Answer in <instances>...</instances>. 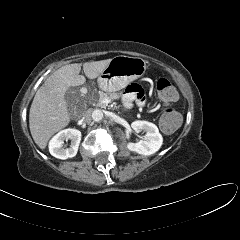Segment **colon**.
I'll return each mask as SVG.
<instances>
[{
    "label": "colon",
    "mask_w": 240,
    "mask_h": 240,
    "mask_svg": "<svg viewBox=\"0 0 240 240\" xmlns=\"http://www.w3.org/2000/svg\"><path fill=\"white\" fill-rule=\"evenodd\" d=\"M156 89L159 99L166 105L177 100L176 88L166 78H159L156 82ZM181 123L180 114L171 107H165L160 117V127L166 133L175 131Z\"/></svg>",
    "instance_id": "obj_1"
}]
</instances>
